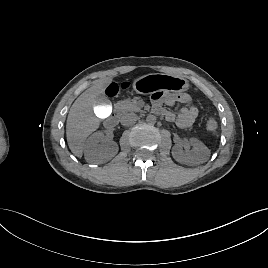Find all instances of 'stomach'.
I'll return each instance as SVG.
<instances>
[{
	"label": "stomach",
	"mask_w": 268,
	"mask_h": 268,
	"mask_svg": "<svg viewBox=\"0 0 268 268\" xmlns=\"http://www.w3.org/2000/svg\"><path fill=\"white\" fill-rule=\"evenodd\" d=\"M133 89L138 94H150L156 91L182 93L189 89L186 79L164 73H150L137 78L133 82Z\"/></svg>",
	"instance_id": "0dacf381"
}]
</instances>
